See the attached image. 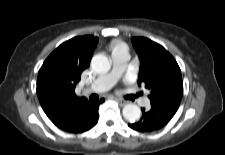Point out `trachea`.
<instances>
[{"mask_svg": "<svg viewBox=\"0 0 225 155\" xmlns=\"http://www.w3.org/2000/svg\"><path fill=\"white\" fill-rule=\"evenodd\" d=\"M97 98H98V96H96V95H92V96L90 97L91 100H94V99H97Z\"/></svg>", "mask_w": 225, "mask_h": 155, "instance_id": "trachea-1", "label": "trachea"}]
</instances>
